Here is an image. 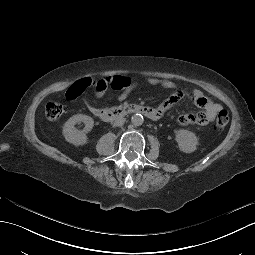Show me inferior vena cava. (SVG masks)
<instances>
[{
  "label": "inferior vena cava",
  "instance_id": "602c4592",
  "mask_svg": "<svg viewBox=\"0 0 255 255\" xmlns=\"http://www.w3.org/2000/svg\"><path fill=\"white\" fill-rule=\"evenodd\" d=\"M126 119L123 117H118L114 120L113 122V126L118 127V126H122L125 123Z\"/></svg>",
  "mask_w": 255,
  "mask_h": 255
}]
</instances>
